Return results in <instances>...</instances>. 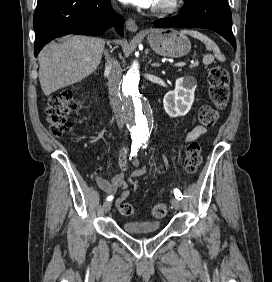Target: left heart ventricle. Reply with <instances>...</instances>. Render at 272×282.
Here are the masks:
<instances>
[{
	"instance_id": "1",
	"label": "left heart ventricle",
	"mask_w": 272,
	"mask_h": 282,
	"mask_svg": "<svg viewBox=\"0 0 272 282\" xmlns=\"http://www.w3.org/2000/svg\"><path fill=\"white\" fill-rule=\"evenodd\" d=\"M172 0H156L153 8H160L168 5Z\"/></svg>"
}]
</instances>
